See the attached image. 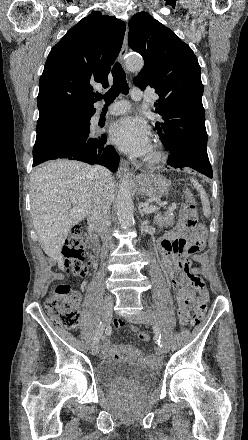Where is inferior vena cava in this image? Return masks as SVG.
<instances>
[{
	"mask_svg": "<svg viewBox=\"0 0 248 440\" xmlns=\"http://www.w3.org/2000/svg\"><path fill=\"white\" fill-rule=\"evenodd\" d=\"M92 175L102 185L100 191L96 194L91 209L87 215V221L90 229L96 231L103 242L102 254L105 255L112 243V237L109 228V215L111 200L108 197L105 188L112 181L111 172L102 166H95L92 169Z\"/></svg>",
	"mask_w": 248,
	"mask_h": 440,
	"instance_id": "inferior-vena-cava-1",
	"label": "inferior vena cava"
}]
</instances>
